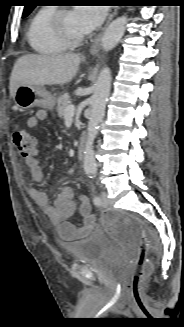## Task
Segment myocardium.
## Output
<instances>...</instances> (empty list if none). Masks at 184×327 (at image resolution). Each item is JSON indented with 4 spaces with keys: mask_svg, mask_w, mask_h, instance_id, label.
I'll return each instance as SVG.
<instances>
[{
    "mask_svg": "<svg viewBox=\"0 0 184 327\" xmlns=\"http://www.w3.org/2000/svg\"><path fill=\"white\" fill-rule=\"evenodd\" d=\"M72 11L69 8L57 9L51 17V28L53 32L69 47L78 46L86 40V35L72 36L67 32L64 25V17Z\"/></svg>",
    "mask_w": 184,
    "mask_h": 327,
    "instance_id": "f54148a6",
    "label": "myocardium"
}]
</instances>
